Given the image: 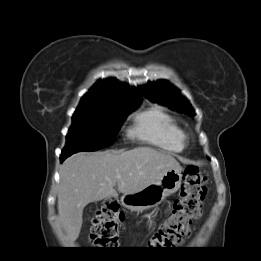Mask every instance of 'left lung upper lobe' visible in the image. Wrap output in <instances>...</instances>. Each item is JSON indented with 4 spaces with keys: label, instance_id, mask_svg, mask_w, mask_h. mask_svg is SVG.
<instances>
[{
    "label": "left lung upper lobe",
    "instance_id": "left-lung-upper-lobe-1",
    "mask_svg": "<svg viewBox=\"0 0 261 261\" xmlns=\"http://www.w3.org/2000/svg\"><path fill=\"white\" fill-rule=\"evenodd\" d=\"M143 95L178 112L194 116L195 113L187 99L181 96L180 92L167 83L158 81L157 83H148L145 87H140Z\"/></svg>",
    "mask_w": 261,
    "mask_h": 261
}]
</instances>
